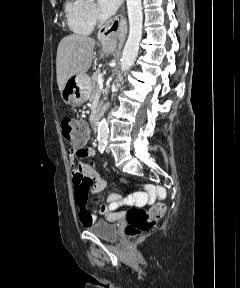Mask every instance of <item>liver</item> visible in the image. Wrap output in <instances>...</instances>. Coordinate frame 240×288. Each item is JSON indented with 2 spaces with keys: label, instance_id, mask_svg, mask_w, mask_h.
Segmentation results:
<instances>
[{
  "label": "liver",
  "instance_id": "1",
  "mask_svg": "<svg viewBox=\"0 0 240 288\" xmlns=\"http://www.w3.org/2000/svg\"><path fill=\"white\" fill-rule=\"evenodd\" d=\"M95 40L88 36L72 34L64 37L57 48L56 73L60 92L67 80L85 74L92 63Z\"/></svg>",
  "mask_w": 240,
  "mask_h": 288
}]
</instances>
